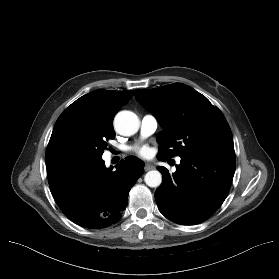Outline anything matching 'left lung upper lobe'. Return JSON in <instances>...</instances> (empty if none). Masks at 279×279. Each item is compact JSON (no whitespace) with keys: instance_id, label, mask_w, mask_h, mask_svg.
<instances>
[{"instance_id":"obj_1","label":"left lung upper lobe","mask_w":279,"mask_h":279,"mask_svg":"<svg viewBox=\"0 0 279 279\" xmlns=\"http://www.w3.org/2000/svg\"><path fill=\"white\" fill-rule=\"evenodd\" d=\"M135 97L163 128L157 134V157L235 154L232 132L224 115L192 87L174 83L156 89H136Z\"/></svg>"}]
</instances>
